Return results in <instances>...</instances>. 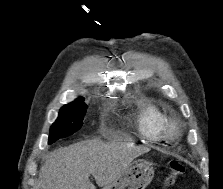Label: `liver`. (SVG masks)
<instances>
[{
	"label": "liver",
	"mask_w": 223,
	"mask_h": 189,
	"mask_svg": "<svg viewBox=\"0 0 223 189\" xmlns=\"http://www.w3.org/2000/svg\"><path fill=\"white\" fill-rule=\"evenodd\" d=\"M142 150L129 144L99 140L60 148L52 152L42 165L36 189H96L89 180L91 174L99 187H105Z\"/></svg>",
	"instance_id": "1"
}]
</instances>
